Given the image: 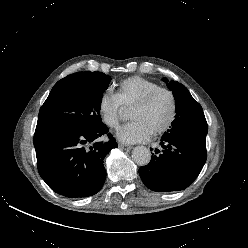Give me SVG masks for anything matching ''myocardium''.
Wrapping results in <instances>:
<instances>
[{
  "instance_id": "obj_1",
  "label": "myocardium",
  "mask_w": 248,
  "mask_h": 248,
  "mask_svg": "<svg viewBox=\"0 0 248 248\" xmlns=\"http://www.w3.org/2000/svg\"><path fill=\"white\" fill-rule=\"evenodd\" d=\"M160 93H165L169 96L170 102H171V109H170V114H169L167 121L161 127L154 130L152 132L153 134H162L166 132L172 127L175 121L176 114H177V101H176V97L173 91L168 88L158 87L148 92L144 97H142L139 101H137L133 105V107L144 108L148 106L152 102V100Z\"/></svg>"
}]
</instances>
